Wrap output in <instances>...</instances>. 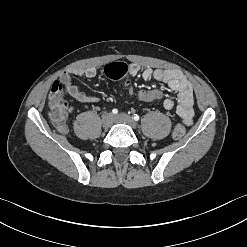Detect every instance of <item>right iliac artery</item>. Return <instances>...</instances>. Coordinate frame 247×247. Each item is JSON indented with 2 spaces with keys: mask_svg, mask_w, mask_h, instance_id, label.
<instances>
[{
  "mask_svg": "<svg viewBox=\"0 0 247 247\" xmlns=\"http://www.w3.org/2000/svg\"><path fill=\"white\" fill-rule=\"evenodd\" d=\"M112 113H113V114H117V113H118V110H117V109H113V110H112Z\"/></svg>",
  "mask_w": 247,
  "mask_h": 247,
  "instance_id": "obj_1",
  "label": "right iliac artery"
}]
</instances>
